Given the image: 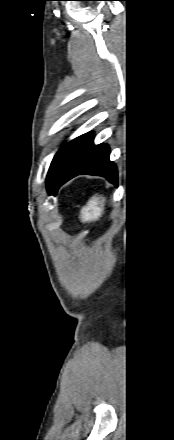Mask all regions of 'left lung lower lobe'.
Here are the masks:
<instances>
[{
  "label": "left lung lower lobe",
  "mask_w": 174,
  "mask_h": 440,
  "mask_svg": "<svg viewBox=\"0 0 174 440\" xmlns=\"http://www.w3.org/2000/svg\"><path fill=\"white\" fill-rule=\"evenodd\" d=\"M93 139L92 132L78 138L66 166L53 185L51 194H56L62 184L80 174L103 176L117 185V169L115 164L109 160L108 145H94Z\"/></svg>",
  "instance_id": "obj_1"
}]
</instances>
